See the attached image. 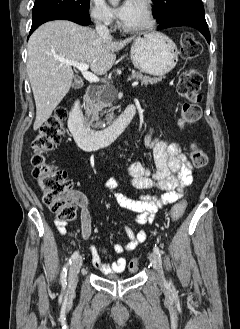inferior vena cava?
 I'll return each mask as SVG.
<instances>
[{"label": "inferior vena cava", "instance_id": "inferior-vena-cava-1", "mask_svg": "<svg viewBox=\"0 0 240 329\" xmlns=\"http://www.w3.org/2000/svg\"><path fill=\"white\" fill-rule=\"evenodd\" d=\"M96 31L101 38L103 39L110 38V32L108 27L102 24L100 21L96 22Z\"/></svg>", "mask_w": 240, "mask_h": 329}]
</instances>
